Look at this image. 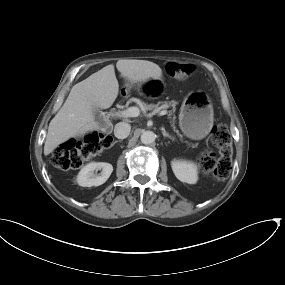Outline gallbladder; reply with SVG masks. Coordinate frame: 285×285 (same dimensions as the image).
Wrapping results in <instances>:
<instances>
[{
    "instance_id": "obj_1",
    "label": "gallbladder",
    "mask_w": 285,
    "mask_h": 285,
    "mask_svg": "<svg viewBox=\"0 0 285 285\" xmlns=\"http://www.w3.org/2000/svg\"><path fill=\"white\" fill-rule=\"evenodd\" d=\"M95 120L104 124L103 117L101 115V111L98 108L94 109Z\"/></svg>"
}]
</instances>
